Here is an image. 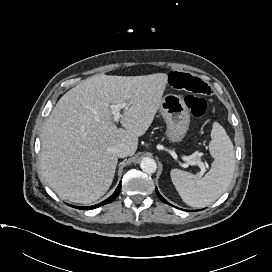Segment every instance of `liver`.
<instances>
[{
  "label": "liver",
  "mask_w": 272,
  "mask_h": 272,
  "mask_svg": "<svg viewBox=\"0 0 272 272\" xmlns=\"http://www.w3.org/2000/svg\"><path fill=\"white\" fill-rule=\"evenodd\" d=\"M167 74L94 75L66 92L41 133L40 166L61 199L91 204L112 184L124 143L135 154L138 137L150 127L162 102ZM127 103L118 128L110 104Z\"/></svg>",
  "instance_id": "1"
}]
</instances>
